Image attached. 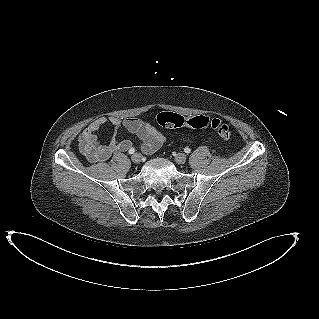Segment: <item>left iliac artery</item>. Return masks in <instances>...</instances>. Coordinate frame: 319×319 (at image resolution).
Listing matches in <instances>:
<instances>
[{
  "label": "left iliac artery",
  "instance_id": "1",
  "mask_svg": "<svg viewBox=\"0 0 319 319\" xmlns=\"http://www.w3.org/2000/svg\"><path fill=\"white\" fill-rule=\"evenodd\" d=\"M184 152L187 153V154H189V153H191V149L188 148V147H186V148L184 149Z\"/></svg>",
  "mask_w": 319,
  "mask_h": 319
}]
</instances>
